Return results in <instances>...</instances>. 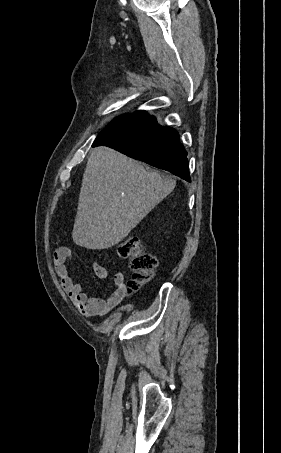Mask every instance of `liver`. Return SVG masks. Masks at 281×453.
<instances>
[{
	"instance_id": "6515ba94",
	"label": "liver",
	"mask_w": 281,
	"mask_h": 453,
	"mask_svg": "<svg viewBox=\"0 0 281 453\" xmlns=\"http://www.w3.org/2000/svg\"><path fill=\"white\" fill-rule=\"evenodd\" d=\"M175 184L113 148H93L79 192L74 243L86 249L118 245Z\"/></svg>"
}]
</instances>
